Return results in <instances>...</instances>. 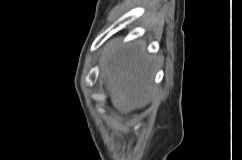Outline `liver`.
Instances as JSON below:
<instances>
[{"label":"liver","mask_w":242,"mask_h":160,"mask_svg":"<svg viewBox=\"0 0 242 160\" xmlns=\"http://www.w3.org/2000/svg\"><path fill=\"white\" fill-rule=\"evenodd\" d=\"M111 40L102 54L103 73L112 104L122 112L145 107L153 93L152 59L138 43Z\"/></svg>","instance_id":"obj_1"}]
</instances>
